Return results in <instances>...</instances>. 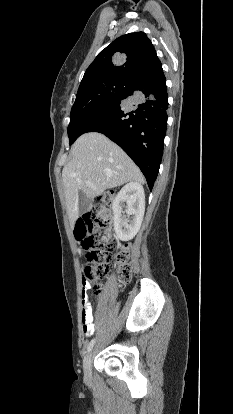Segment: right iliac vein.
<instances>
[{
  "label": "right iliac vein",
  "mask_w": 233,
  "mask_h": 414,
  "mask_svg": "<svg viewBox=\"0 0 233 414\" xmlns=\"http://www.w3.org/2000/svg\"><path fill=\"white\" fill-rule=\"evenodd\" d=\"M92 352H90L84 360V374L86 378L91 376Z\"/></svg>",
  "instance_id": "obj_1"
}]
</instances>
